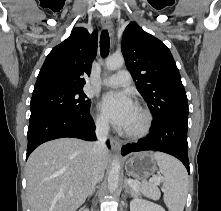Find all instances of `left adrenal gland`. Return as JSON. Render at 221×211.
I'll return each instance as SVG.
<instances>
[{"label": "left adrenal gland", "mask_w": 221, "mask_h": 211, "mask_svg": "<svg viewBox=\"0 0 221 211\" xmlns=\"http://www.w3.org/2000/svg\"><path fill=\"white\" fill-rule=\"evenodd\" d=\"M124 187H125V192L132 195V193L130 191V188H129L128 184H127V179H125Z\"/></svg>", "instance_id": "1"}]
</instances>
